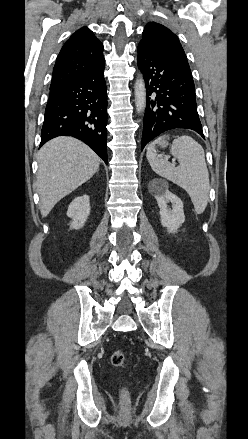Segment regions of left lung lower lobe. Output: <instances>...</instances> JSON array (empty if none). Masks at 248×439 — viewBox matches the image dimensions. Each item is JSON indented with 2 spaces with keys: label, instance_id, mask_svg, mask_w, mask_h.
<instances>
[{
  "label": "left lung lower lobe",
  "instance_id": "1",
  "mask_svg": "<svg viewBox=\"0 0 248 439\" xmlns=\"http://www.w3.org/2000/svg\"><path fill=\"white\" fill-rule=\"evenodd\" d=\"M137 63L147 94L141 149L170 129H192L204 138L190 67L142 45H138Z\"/></svg>",
  "mask_w": 248,
  "mask_h": 439
}]
</instances>
